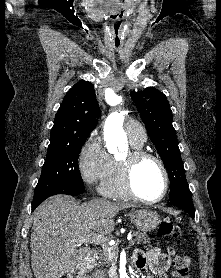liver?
Returning a JSON list of instances; mask_svg holds the SVG:
<instances>
[{"label": "liver", "instance_id": "obj_1", "mask_svg": "<svg viewBox=\"0 0 221 278\" xmlns=\"http://www.w3.org/2000/svg\"><path fill=\"white\" fill-rule=\"evenodd\" d=\"M135 204L93 199L78 205L74 198L57 195L42 203L33 214L31 266L35 278H61L88 255L89 247L76 240L93 231L109 235L114 217Z\"/></svg>", "mask_w": 221, "mask_h": 278}]
</instances>
